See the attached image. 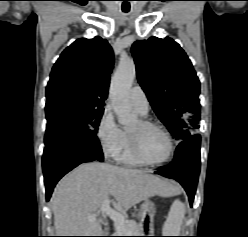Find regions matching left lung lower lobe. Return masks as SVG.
<instances>
[{"label": "left lung lower lobe", "mask_w": 248, "mask_h": 237, "mask_svg": "<svg viewBox=\"0 0 248 237\" xmlns=\"http://www.w3.org/2000/svg\"><path fill=\"white\" fill-rule=\"evenodd\" d=\"M200 141V135L183 140L178 145L171 164L155 172L177 180L186 190L191 206L200 171Z\"/></svg>", "instance_id": "1"}]
</instances>
